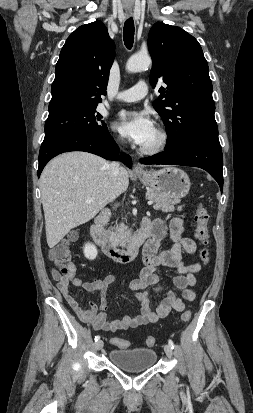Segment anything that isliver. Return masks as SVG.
Here are the masks:
<instances>
[{"instance_id": "1", "label": "liver", "mask_w": 253, "mask_h": 413, "mask_svg": "<svg viewBox=\"0 0 253 413\" xmlns=\"http://www.w3.org/2000/svg\"><path fill=\"white\" fill-rule=\"evenodd\" d=\"M108 162L91 153L74 151L52 159L42 171L40 188L47 244L53 248L71 229L94 218L108 202L125 192L129 175L120 167L112 181ZM94 198L91 202L87 199Z\"/></svg>"}]
</instances>
